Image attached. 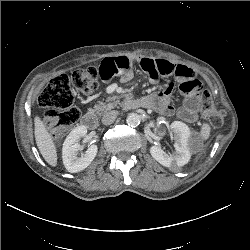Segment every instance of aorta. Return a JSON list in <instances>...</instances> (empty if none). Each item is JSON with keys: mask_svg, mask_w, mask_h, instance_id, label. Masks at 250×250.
Here are the masks:
<instances>
[{"mask_svg": "<svg viewBox=\"0 0 250 250\" xmlns=\"http://www.w3.org/2000/svg\"><path fill=\"white\" fill-rule=\"evenodd\" d=\"M126 122L131 127H136L140 124V116L137 113H130L127 116Z\"/></svg>", "mask_w": 250, "mask_h": 250, "instance_id": "obj_1", "label": "aorta"}]
</instances>
